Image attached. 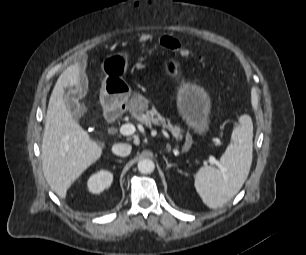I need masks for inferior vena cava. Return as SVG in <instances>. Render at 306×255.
<instances>
[{
	"instance_id": "obj_1",
	"label": "inferior vena cava",
	"mask_w": 306,
	"mask_h": 255,
	"mask_svg": "<svg viewBox=\"0 0 306 255\" xmlns=\"http://www.w3.org/2000/svg\"><path fill=\"white\" fill-rule=\"evenodd\" d=\"M131 150V145L126 143H117L112 146V152L121 157L128 156L131 153Z\"/></svg>"
}]
</instances>
